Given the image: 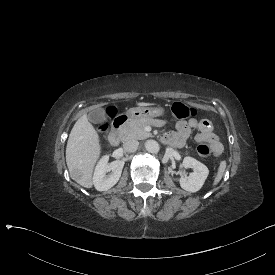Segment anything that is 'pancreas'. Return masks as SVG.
Masks as SVG:
<instances>
[{"label":"pancreas","instance_id":"cf45deb5","mask_svg":"<svg viewBox=\"0 0 275 275\" xmlns=\"http://www.w3.org/2000/svg\"><path fill=\"white\" fill-rule=\"evenodd\" d=\"M165 124V121L158 119H139L129 120L119 130V135L123 141L129 139L143 140L151 137L152 134L145 131L147 125L161 127Z\"/></svg>","mask_w":275,"mask_h":275}]
</instances>
